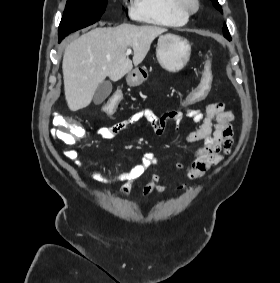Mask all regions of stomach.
Segmentation results:
<instances>
[{
  "mask_svg": "<svg viewBox=\"0 0 280 283\" xmlns=\"http://www.w3.org/2000/svg\"><path fill=\"white\" fill-rule=\"evenodd\" d=\"M191 45L187 39L173 33L161 35L158 39L156 57L162 68L175 73L189 62ZM145 68H135L129 72L127 83L131 86L141 85L147 78Z\"/></svg>",
  "mask_w": 280,
  "mask_h": 283,
  "instance_id": "stomach-1",
  "label": "stomach"
}]
</instances>
